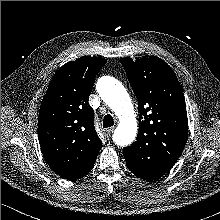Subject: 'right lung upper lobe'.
<instances>
[{
    "label": "right lung upper lobe",
    "mask_w": 220,
    "mask_h": 220,
    "mask_svg": "<svg viewBox=\"0 0 220 220\" xmlns=\"http://www.w3.org/2000/svg\"><path fill=\"white\" fill-rule=\"evenodd\" d=\"M107 60L83 56L53 76L38 117L41 151L50 168L67 180L88 174L102 147L88 104L94 80Z\"/></svg>",
    "instance_id": "obj_1"
}]
</instances>
